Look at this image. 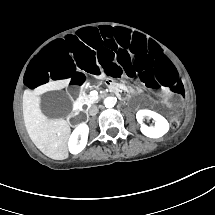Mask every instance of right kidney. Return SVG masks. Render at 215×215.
Returning <instances> with one entry per match:
<instances>
[{
    "instance_id": "1",
    "label": "right kidney",
    "mask_w": 215,
    "mask_h": 215,
    "mask_svg": "<svg viewBox=\"0 0 215 215\" xmlns=\"http://www.w3.org/2000/svg\"><path fill=\"white\" fill-rule=\"evenodd\" d=\"M78 129V133L75 136L74 132ZM72 133L69 139V150L72 154H77L82 151L87 143L89 128L85 123L80 124ZM80 135V141L78 142V136Z\"/></svg>"
}]
</instances>
